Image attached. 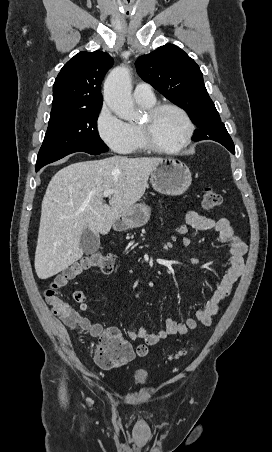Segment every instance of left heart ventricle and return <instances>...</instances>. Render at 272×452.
<instances>
[{"mask_svg": "<svg viewBox=\"0 0 272 452\" xmlns=\"http://www.w3.org/2000/svg\"><path fill=\"white\" fill-rule=\"evenodd\" d=\"M143 122L148 123L151 138L162 146L178 144L185 134L183 118L170 109L160 111L150 120L146 117Z\"/></svg>", "mask_w": 272, "mask_h": 452, "instance_id": "b2bd125f", "label": "left heart ventricle"}]
</instances>
